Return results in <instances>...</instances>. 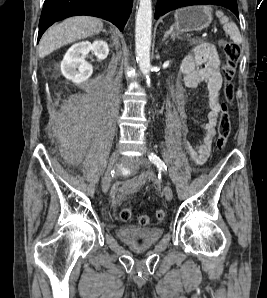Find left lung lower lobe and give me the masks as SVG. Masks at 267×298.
Segmentation results:
<instances>
[{
  "label": "left lung lower lobe",
  "instance_id": "1",
  "mask_svg": "<svg viewBox=\"0 0 267 298\" xmlns=\"http://www.w3.org/2000/svg\"><path fill=\"white\" fill-rule=\"evenodd\" d=\"M196 4L223 6L230 9L239 18L236 0H158L155 10V19L171 10Z\"/></svg>",
  "mask_w": 267,
  "mask_h": 298
}]
</instances>
